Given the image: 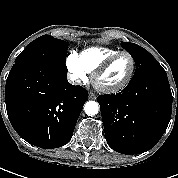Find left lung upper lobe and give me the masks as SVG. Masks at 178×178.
Here are the masks:
<instances>
[{
  "instance_id": "1",
  "label": "left lung upper lobe",
  "mask_w": 178,
  "mask_h": 178,
  "mask_svg": "<svg viewBox=\"0 0 178 178\" xmlns=\"http://www.w3.org/2000/svg\"><path fill=\"white\" fill-rule=\"evenodd\" d=\"M122 46L135 61L136 70L131 81L153 73L165 72L159 62L146 49L130 42H122Z\"/></svg>"
}]
</instances>
